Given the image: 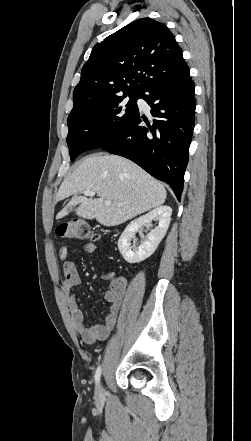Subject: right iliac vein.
Listing matches in <instances>:
<instances>
[{
  "label": "right iliac vein",
  "mask_w": 251,
  "mask_h": 441,
  "mask_svg": "<svg viewBox=\"0 0 251 441\" xmlns=\"http://www.w3.org/2000/svg\"><path fill=\"white\" fill-rule=\"evenodd\" d=\"M96 398L98 400H103V398H104V390H103V387L100 383L96 387Z\"/></svg>",
  "instance_id": "1"
}]
</instances>
